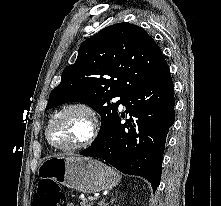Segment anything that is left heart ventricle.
I'll return each mask as SVG.
<instances>
[{
  "label": "left heart ventricle",
  "mask_w": 221,
  "mask_h": 206,
  "mask_svg": "<svg viewBox=\"0 0 221 206\" xmlns=\"http://www.w3.org/2000/svg\"><path fill=\"white\" fill-rule=\"evenodd\" d=\"M88 132V120L78 111L68 112L58 118L50 131L55 144H72L83 139Z\"/></svg>",
  "instance_id": "b2bd125f"
}]
</instances>
